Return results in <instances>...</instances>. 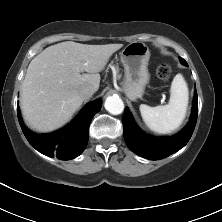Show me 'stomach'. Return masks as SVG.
<instances>
[{"label":"stomach","mask_w":222,"mask_h":222,"mask_svg":"<svg viewBox=\"0 0 222 222\" xmlns=\"http://www.w3.org/2000/svg\"><path fill=\"white\" fill-rule=\"evenodd\" d=\"M149 58L150 50L148 46L140 41L131 42L121 52V62L125 70L121 86L124 93L131 100L141 98L144 94L145 87L150 79Z\"/></svg>","instance_id":"0dacf381"}]
</instances>
